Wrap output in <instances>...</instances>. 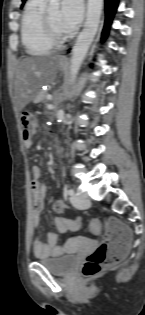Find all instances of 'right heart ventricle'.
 Returning <instances> with one entry per match:
<instances>
[{
	"label": "right heart ventricle",
	"mask_w": 145,
	"mask_h": 315,
	"mask_svg": "<svg viewBox=\"0 0 145 315\" xmlns=\"http://www.w3.org/2000/svg\"><path fill=\"white\" fill-rule=\"evenodd\" d=\"M43 14L42 0L28 1L21 19V40L30 55H46L54 47L44 33Z\"/></svg>",
	"instance_id": "obj_1"
}]
</instances>
